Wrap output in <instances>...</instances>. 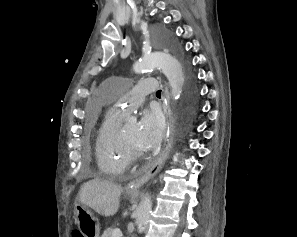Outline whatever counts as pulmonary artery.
<instances>
[{
    "instance_id": "obj_1",
    "label": "pulmonary artery",
    "mask_w": 297,
    "mask_h": 237,
    "mask_svg": "<svg viewBox=\"0 0 297 237\" xmlns=\"http://www.w3.org/2000/svg\"><path fill=\"white\" fill-rule=\"evenodd\" d=\"M157 89L158 84L153 77H145L136 85L121 87L120 93L122 97L118 102L116 110L122 114L127 113L131 108L139 106L147 95L155 92Z\"/></svg>"
}]
</instances>
